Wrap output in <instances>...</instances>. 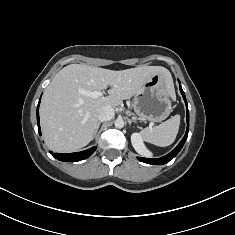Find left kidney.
<instances>
[{"label":"left kidney","mask_w":235,"mask_h":235,"mask_svg":"<svg viewBox=\"0 0 235 235\" xmlns=\"http://www.w3.org/2000/svg\"><path fill=\"white\" fill-rule=\"evenodd\" d=\"M131 143L137 153L143 156H150L151 152L146 148L143 138L140 133H133L131 135Z\"/></svg>","instance_id":"5707ae66"}]
</instances>
